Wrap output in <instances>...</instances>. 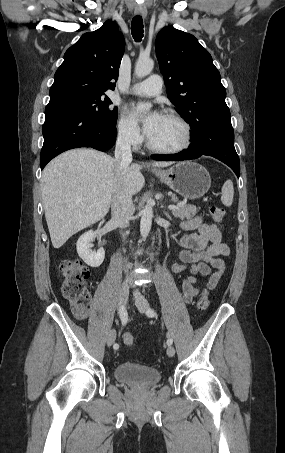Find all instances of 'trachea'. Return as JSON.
I'll return each instance as SVG.
<instances>
[{"instance_id": "trachea-1", "label": "trachea", "mask_w": 285, "mask_h": 453, "mask_svg": "<svg viewBox=\"0 0 285 453\" xmlns=\"http://www.w3.org/2000/svg\"><path fill=\"white\" fill-rule=\"evenodd\" d=\"M143 19L137 15L132 19L131 33L136 42H140L143 38Z\"/></svg>"}]
</instances>
